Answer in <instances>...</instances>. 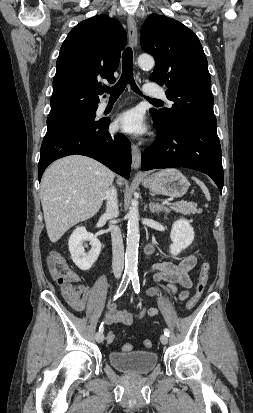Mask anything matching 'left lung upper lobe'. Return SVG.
Masks as SVG:
<instances>
[{
	"mask_svg": "<svg viewBox=\"0 0 253 413\" xmlns=\"http://www.w3.org/2000/svg\"><path fill=\"white\" fill-rule=\"evenodd\" d=\"M141 47L156 60L150 80L167 87L174 104L150 110L164 133L185 123L216 128L207 59L196 34L167 16L152 14L141 29Z\"/></svg>",
	"mask_w": 253,
	"mask_h": 413,
	"instance_id": "5c2ea615",
	"label": "left lung upper lobe"
}]
</instances>
